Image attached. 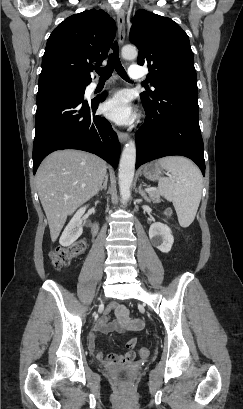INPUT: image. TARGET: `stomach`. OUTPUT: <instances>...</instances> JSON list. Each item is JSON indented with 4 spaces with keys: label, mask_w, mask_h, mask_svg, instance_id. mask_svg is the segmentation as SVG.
I'll list each match as a JSON object with an SVG mask.
<instances>
[{
    "label": "stomach",
    "mask_w": 243,
    "mask_h": 409,
    "mask_svg": "<svg viewBox=\"0 0 243 409\" xmlns=\"http://www.w3.org/2000/svg\"><path fill=\"white\" fill-rule=\"evenodd\" d=\"M162 167L159 165L158 162H151L147 164L143 169V175L148 180H159L162 175Z\"/></svg>",
    "instance_id": "0dacf381"
}]
</instances>
